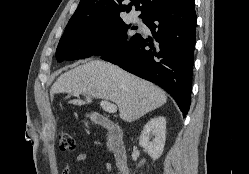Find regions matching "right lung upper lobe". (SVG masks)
Masks as SVG:
<instances>
[{
    "mask_svg": "<svg viewBox=\"0 0 249 174\" xmlns=\"http://www.w3.org/2000/svg\"><path fill=\"white\" fill-rule=\"evenodd\" d=\"M81 0L67 26L120 18L121 12H129L131 6L141 10V18L146 19L152 14L166 8L182 6L193 0Z\"/></svg>",
    "mask_w": 249,
    "mask_h": 174,
    "instance_id": "right-lung-upper-lobe-1",
    "label": "right lung upper lobe"
}]
</instances>
